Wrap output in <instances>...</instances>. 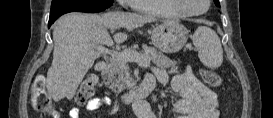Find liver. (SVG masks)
Segmentation results:
<instances>
[{"label":"liver","mask_w":273,"mask_h":118,"mask_svg":"<svg viewBox=\"0 0 273 118\" xmlns=\"http://www.w3.org/2000/svg\"><path fill=\"white\" fill-rule=\"evenodd\" d=\"M155 21L151 15L108 12L103 15L69 13L53 29L54 51L47 72L46 88L55 101L72 99L85 74L100 53L93 45H113L108 29L133 30ZM127 35L117 33L114 41L122 43Z\"/></svg>","instance_id":"liver-1"}]
</instances>
